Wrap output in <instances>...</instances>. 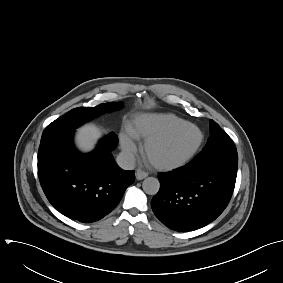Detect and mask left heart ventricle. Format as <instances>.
<instances>
[{
    "label": "left heart ventricle",
    "mask_w": 283,
    "mask_h": 283,
    "mask_svg": "<svg viewBox=\"0 0 283 283\" xmlns=\"http://www.w3.org/2000/svg\"><path fill=\"white\" fill-rule=\"evenodd\" d=\"M198 138L199 133L193 127H180L166 140L150 147L148 158L156 163L175 162L192 150Z\"/></svg>",
    "instance_id": "left-heart-ventricle-1"
}]
</instances>
